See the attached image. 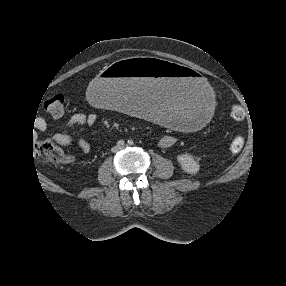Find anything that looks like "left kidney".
I'll return each instance as SVG.
<instances>
[{"instance_id": "obj_1", "label": "left kidney", "mask_w": 286, "mask_h": 286, "mask_svg": "<svg viewBox=\"0 0 286 286\" xmlns=\"http://www.w3.org/2000/svg\"><path fill=\"white\" fill-rule=\"evenodd\" d=\"M176 159L181 169L189 174H195L200 169L199 163L189 154L178 155Z\"/></svg>"}]
</instances>
